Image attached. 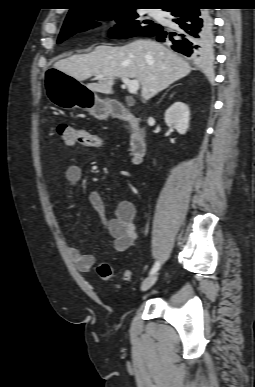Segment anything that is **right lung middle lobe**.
<instances>
[{
    "label": "right lung middle lobe",
    "mask_w": 255,
    "mask_h": 387,
    "mask_svg": "<svg viewBox=\"0 0 255 387\" xmlns=\"http://www.w3.org/2000/svg\"><path fill=\"white\" fill-rule=\"evenodd\" d=\"M133 7H117L114 9L95 10L82 15L81 17L65 21L58 37V43L66 40L79 31H85L91 27L98 26L99 23L95 20H113L117 21V25L111 29L110 37L116 39H125L141 35L148 27L159 26L147 20H139V15Z\"/></svg>",
    "instance_id": "right-lung-middle-lobe-1"
}]
</instances>
